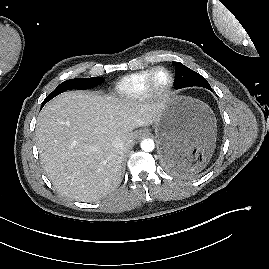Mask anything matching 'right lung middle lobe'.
<instances>
[{
    "label": "right lung middle lobe",
    "mask_w": 269,
    "mask_h": 269,
    "mask_svg": "<svg viewBox=\"0 0 269 269\" xmlns=\"http://www.w3.org/2000/svg\"><path fill=\"white\" fill-rule=\"evenodd\" d=\"M104 80L100 77H92V78H77V79H70L68 81H64L61 83L51 94H49L45 100L42 102V107L50 101L52 98L57 96L60 93L65 92L66 90L70 89H89L93 88L101 83Z\"/></svg>",
    "instance_id": "obj_1"
}]
</instances>
